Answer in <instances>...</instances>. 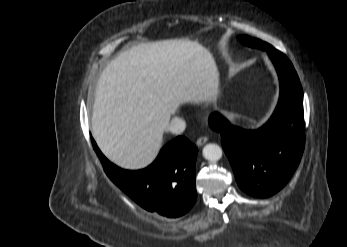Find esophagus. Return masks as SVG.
Instances as JSON below:
<instances>
[{
  "label": "esophagus",
  "mask_w": 347,
  "mask_h": 247,
  "mask_svg": "<svg viewBox=\"0 0 347 247\" xmlns=\"http://www.w3.org/2000/svg\"><path fill=\"white\" fill-rule=\"evenodd\" d=\"M208 141V138L207 137H200L197 139L196 141V145L197 146H203L206 142Z\"/></svg>",
  "instance_id": "34e87169"
}]
</instances>
